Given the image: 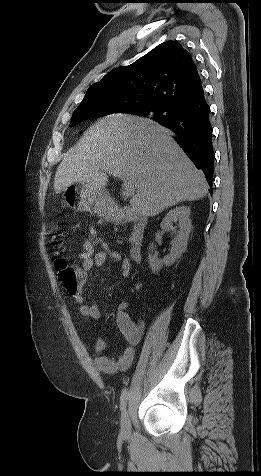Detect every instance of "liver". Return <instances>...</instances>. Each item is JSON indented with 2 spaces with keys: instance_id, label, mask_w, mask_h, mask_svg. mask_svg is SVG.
<instances>
[{
  "instance_id": "6515ba94",
  "label": "liver",
  "mask_w": 261,
  "mask_h": 476,
  "mask_svg": "<svg viewBox=\"0 0 261 476\" xmlns=\"http://www.w3.org/2000/svg\"><path fill=\"white\" fill-rule=\"evenodd\" d=\"M110 172H119L134 185V213L153 217L183 201L203 198L205 175L198 170L169 131L153 120L113 114L92 125L63 158L54 178L61 193L83 182L103 189Z\"/></svg>"
}]
</instances>
